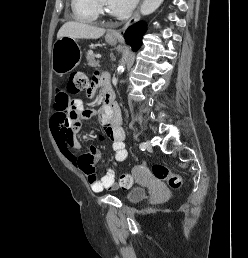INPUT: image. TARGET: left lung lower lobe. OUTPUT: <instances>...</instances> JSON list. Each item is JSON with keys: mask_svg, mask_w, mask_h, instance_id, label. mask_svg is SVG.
Wrapping results in <instances>:
<instances>
[{"mask_svg": "<svg viewBox=\"0 0 248 258\" xmlns=\"http://www.w3.org/2000/svg\"><path fill=\"white\" fill-rule=\"evenodd\" d=\"M146 30V26L143 22H138L132 25L127 31L124 33V38L128 44H130L133 50H137L142 41V35Z\"/></svg>", "mask_w": 248, "mask_h": 258, "instance_id": "left-lung-lower-lobe-1", "label": "left lung lower lobe"}]
</instances>
